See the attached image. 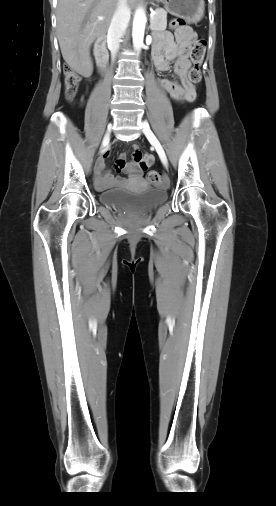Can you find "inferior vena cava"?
<instances>
[{
    "mask_svg": "<svg viewBox=\"0 0 276 506\" xmlns=\"http://www.w3.org/2000/svg\"><path fill=\"white\" fill-rule=\"evenodd\" d=\"M130 14L131 11L127 4V0H118L117 8L112 17L107 35V42L111 51L112 60L115 59L119 50L120 40L130 21Z\"/></svg>",
    "mask_w": 276,
    "mask_h": 506,
    "instance_id": "inferior-vena-cava-1",
    "label": "inferior vena cava"
}]
</instances>
